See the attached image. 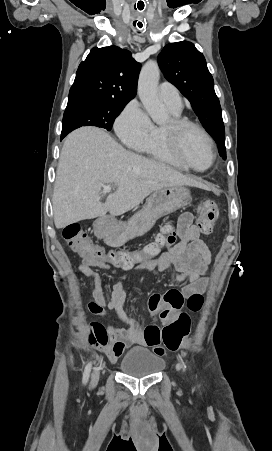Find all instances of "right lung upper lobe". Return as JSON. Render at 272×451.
Listing matches in <instances>:
<instances>
[{"label":"right lung upper lobe","mask_w":272,"mask_h":451,"mask_svg":"<svg viewBox=\"0 0 272 451\" xmlns=\"http://www.w3.org/2000/svg\"><path fill=\"white\" fill-rule=\"evenodd\" d=\"M139 71L140 63L130 51L116 46L94 47L78 67L68 102L84 99L129 102L137 92Z\"/></svg>","instance_id":"obj_1"}]
</instances>
